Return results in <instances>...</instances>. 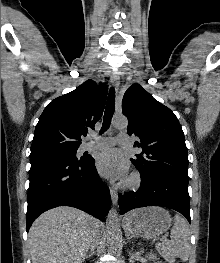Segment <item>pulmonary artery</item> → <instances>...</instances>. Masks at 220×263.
<instances>
[{
	"mask_svg": "<svg viewBox=\"0 0 220 263\" xmlns=\"http://www.w3.org/2000/svg\"><path fill=\"white\" fill-rule=\"evenodd\" d=\"M132 142L131 137L126 133H120L117 137H100L94 140L85 142L81 145L80 151L84 152L90 149H101V148H108L109 146L119 143L123 145H128Z\"/></svg>",
	"mask_w": 220,
	"mask_h": 263,
	"instance_id": "e3ab8cb5",
	"label": "pulmonary artery"
}]
</instances>
